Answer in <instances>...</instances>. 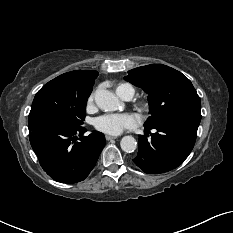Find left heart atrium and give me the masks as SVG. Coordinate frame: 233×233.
Masks as SVG:
<instances>
[{
  "instance_id": "obj_1",
  "label": "left heart atrium",
  "mask_w": 233,
  "mask_h": 233,
  "mask_svg": "<svg viewBox=\"0 0 233 233\" xmlns=\"http://www.w3.org/2000/svg\"><path fill=\"white\" fill-rule=\"evenodd\" d=\"M139 124V118L131 113L106 114L95 120V127L101 132L119 135L126 129H131Z\"/></svg>"
}]
</instances>
